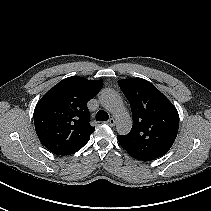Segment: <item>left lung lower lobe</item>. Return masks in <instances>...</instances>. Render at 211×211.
<instances>
[{
	"label": "left lung lower lobe",
	"instance_id": "0a47b994",
	"mask_svg": "<svg viewBox=\"0 0 211 211\" xmlns=\"http://www.w3.org/2000/svg\"><path fill=\"white\" fill-rule=\"evenodd\" d=\"M118 141L120 143V139H119V136H118ZM132 156V155H131ZM133 158L137 159V160H143V161H151L152 159H149V158H144V157H140V156H132Z\"/></svg>",
	"mask_w": 211,
	"mask_h": 211
}]
</instances>
